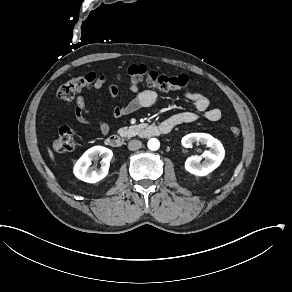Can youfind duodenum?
Segmentation results:
<instances>
[{
  "label": "duodenum",
  "instance_id": "obj_1",
  "mask_svg": "<svg viewBox=\"0 0 292 292\" xmlns=\"http://www.w3.org/2000/svg\"><path fill=\"white\" fill-rule=\"evenodd\" d=\"M173 128L168 123H163L160 125H147L143 127L139 133L141 138H149L157 135L168 134ZM106 143L110 147L120 148L122 145V139L117 134H111L106 137Z\"/></svg>",
  "mask_w": 292,
  "mask_h": 292
}]
</instances>
